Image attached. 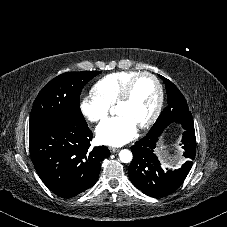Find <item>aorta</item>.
I'll list each match as a JSON object with an SVG mask.
<instances>
[{"instance_id":"762f6f07","label":"aorta","mask_w":227,"mask_h":227,"mask_svg":"<svg viewBox=\"0 0 227 227\" xmlns=\"http://www.w3.org/2000/svg\"><path fill=\"white\" fill-rule=\"evenodd\" d=\"M132 153L131 151L127 150V149H124V150H121L120 153H119V158L121 160V162L123 163H130L132 161Z\"/></svg>"}]
</instances>
